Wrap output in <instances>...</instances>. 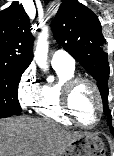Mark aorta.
Wrapping results in <instances>:
<instances>
[{
	"label": "aorta",
	"instance_id": "aorta-1",
	"mask_svg": "<svg viewBox=\"0 0 114 156\" xmlns=\"http://www.w3.org/2000/svg\"><path fill=\"white\" fill-rule=\"evenodd\" d=\"M48 30L43 29V31L38 36L37 45L34 51V59L38 66L43 69L47 70V58H48Z\"/></svg>",
	"mask_w": 114,
	"mask_h": 156
}]
</instances>
